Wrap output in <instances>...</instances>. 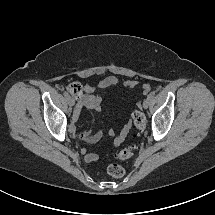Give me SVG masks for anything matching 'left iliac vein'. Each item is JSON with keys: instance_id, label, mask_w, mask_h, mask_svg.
Here are the masks:
<instances>
[{"instance_id": "left-iliac-vein-1", "label": "left iliac vein", "mask_w": 215, "mask_h": 215, "mask_svg": "<svg viewBox=\"0 0 215 215\" xmlns=\"http://www.w3.org/2000/svg\"><path fill=\"white\" fill-rule=\"evenodd\" d=\"M150 105V99L149 98H146L144 101H143V107L146 109L148 108Z\"/></svg>"}]
</instances>
